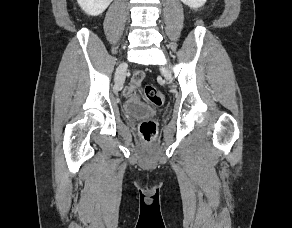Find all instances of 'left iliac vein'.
<instances>
[{
	"label": "left iliac vein",
	"instance_id": "4c4485c4",
	"mask_svg": "<svg viewBox=\"0 0 292 228\" xmlns=\"http://www.w3.org/2000/svg\"><path fill=\"white\" fill-rule=\"evenodd\" d=\"M161 71H162L163 75L165 76V78H166L169 82H172L173 77H172L171 72H170L167 68H164V67L161 68Z\"/></svg>",
	"mask_w": 292,
	"mask_h": 228
}]
</instances>
